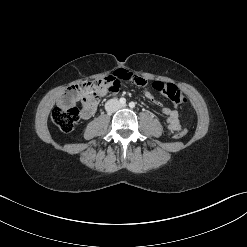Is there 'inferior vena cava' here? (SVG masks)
I'll return each mask as SVG.
<instances>
[{"label": "inferior vena cava", "mask_w": 247, "mask_h": 247, "mask_svg": "<svg viewBox=\"0 0 247 247\" xmlns=\"http://www.w3.org/2000/svg\"><path fill=\"white\" fill-rule=\"evenodd\" d=\"M121 107L122 106L117 99H111V100L107 101L105 104V110L108 113H113V112L117 111L118 109H120Z\"/></svg>", "instance_id": "1"}]
</instances>
